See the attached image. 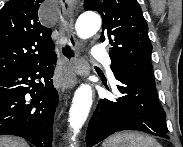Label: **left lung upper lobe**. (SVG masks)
<instances>
[{
  "instance_id": "1",
  "label": "left lung upper lobe",
  "mask_w": 183,
  "mask_h": 147,
  "mask_svg": "<svg viewBox=\"0 0 183 147\" xmlns=\"http://www.w3.org/2000/svg\"><path fill=\"white\" fill-rule=\"evenodd\" d=\"M85 10L97 11L103 21L100 42L111 45V69L128 70L154 79L152 44L142 9L136 0H84Z\"/></svg>"
}]
</instances>
